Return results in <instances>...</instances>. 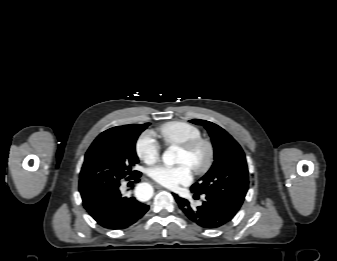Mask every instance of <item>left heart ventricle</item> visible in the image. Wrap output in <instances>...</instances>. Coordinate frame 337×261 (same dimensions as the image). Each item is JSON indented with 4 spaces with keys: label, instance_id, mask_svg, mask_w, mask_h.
Segmentation results:
<instances>
[{
    "label": "left heart ventricle",
    "instance_id": "obj_1",
    "mask_svg": "<svg viewBox=\"0 0 337 261\" xmlns=\"http://www.w3.org/2000/svg\"><path fill=\"white\" fill-rule=\"evenodd\" d=\"M206 156L207 151L204 147H200L192 154L180 149L177 162L180 164H187L191 168L195 165H201L204 163Z\"/></svg>",
    "mask_w": 337,
    "mask_h": 261
}]
</instances>
